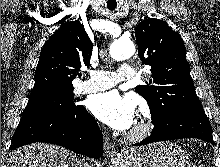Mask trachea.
<instances>
[{
  "instance_id": "3493384b",
  "label": "trachea",
  "mask_w": 220,
  "mask_h": 167,
  "mask_svg": "<svg viewBox=\"0 0 220 167\" xmlns=\"http://www.w3.org/2000/svg\"><path fill=\"white\" fill-rule=\"evenodd\" d=\"M110 10H114L115 9V6L114 7H108Z\"/></svg>"
}]
</instances>
